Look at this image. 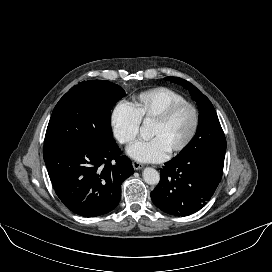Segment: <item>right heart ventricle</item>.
I'll use <instances>...</instances> for the list:
<instances>
[{"instance_id":"e07e8e85","label":"right heart ventricle","mask_w":272,"mask_h":272,"mask_svg":"<svg viewBox=\"0 0 272 272\" xmlns=\"http://www.w3.org/2000/svg\"><path fill=\"white\" fill-rule=\"evenodd\" d=\"M184 101L180 93L167 87H156L135 96L131 106L142 122L152 120L172 104Z\"/></svg>"}]
</instances>
